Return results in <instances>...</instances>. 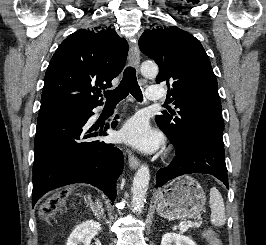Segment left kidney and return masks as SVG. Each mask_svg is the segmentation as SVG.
<instances>
[{"instance_id": "5707ae66", "label": "left kidney", "mask_w": 266, "mask_h": 245, "mask_svg": "<svg viewBox=\"0 0 266 245\" xmlns=\"http://www.w3.org/2000/svg\"><path fill=\"white\" fill-rule=\"evenodd\" d=\"M161 245H196L191 237L177 235V233H165L162 237Z\"/></svg>"}]
</instances>
